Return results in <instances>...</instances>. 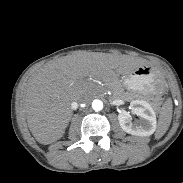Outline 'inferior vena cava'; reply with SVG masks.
Segmentation results:
<instances>
[{
  "mask_svg": "<svg viewBox=\"0 0 183 183\" xmlns=\"http://www.w3.org/2000/svg\"><path fill=\"white\" fill-rule=\"evenodd\" d=\"M87 101H88V97H87V96L81 97V98L79 99V102H81V103H85V102H87Z\"/></svg>",
  "mask_w": 183,
  "mask_h": 183,
  "instance_id": "inferior-vena-cava-1",
  "label": "inferior vena cava"
}]
</instances>
